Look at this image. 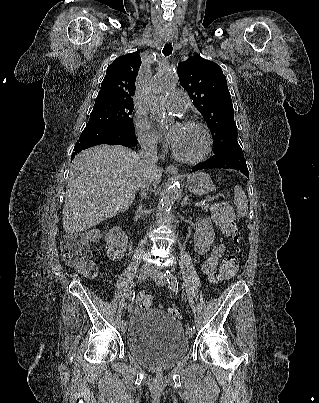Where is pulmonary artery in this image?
I'll return each instance as SVG.
<instances>
[{
	"label": "pulmonary artery",
	"mask_w": 319,
	"mask_h": 403,
	"mask_svg": "<svg viewBox=\"0 0 319 403\" xmlns=\"http://www.w3.org/2000/svg\"><path fill=\"white\" fill-rule=\"evenodd\" d=\"M166 104L173 110L185 111L190 105V100L182 90L176 89L167 95Z\"/></svg>",
	"instance_id": "e3ab8cb5"
}]
</instances>
